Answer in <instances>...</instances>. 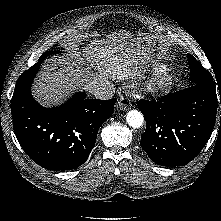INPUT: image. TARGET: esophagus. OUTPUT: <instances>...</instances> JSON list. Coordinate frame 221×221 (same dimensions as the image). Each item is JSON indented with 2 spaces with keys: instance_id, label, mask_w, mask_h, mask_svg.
Segmentation results:
<instances>
[{
  "instance_id": "obj_1",
  "label": "esophagus",
  "mask_w": 221,
  "mask_h": 221,
  "mask_svg": "<svg viewBox=\"0 0 221 221\" xmlns=\"http://www.w3.org/2000/svg\"><path fill=\"white\" fill-rule=\"evenodd\" d=\"M131 107V101L129 98L127 97H120V99L118 100L117 103V109L122 110V111H126L129 110Z\"/></svg>"
}]
</instances>
